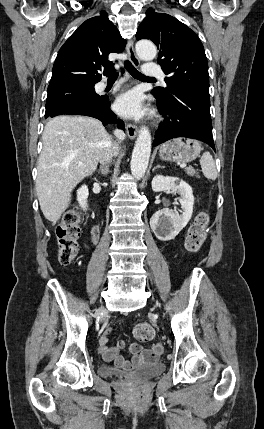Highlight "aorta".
Here are the masks:
<instances>
[{"mask_svg": "<svg viewBox=\"0 0 264 429\" xmlns=\"http://www.w3.org/2000/svg\"><path fill=\"white\" fill-rule=\"evenodd\" d=\"M136 53L144 61L153 60L156 57V46L148 40H140L136 43ZM151 134L147 127H142L139 131L134 145L130 162L132 175L140 179L145 175L151 154Z\"/></svg>", "mask_w": 264, "mask_h": 429, "instance_id": "aorta-1", "label": "aorta"}]
</instances>
